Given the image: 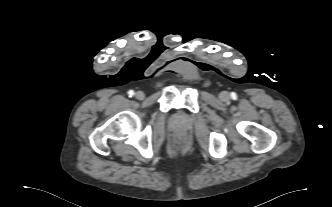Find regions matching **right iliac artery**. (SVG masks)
I'll return each mask as SVG.
<instances>
[{
  "label": "right iliac artery",
  "instance_id": "obj_1",
  "mask_svg": "<svg viewBox=\"0 0 332 207\" xmlns=\"http://www.w3.org/2000/svg\"><path fill=\"white\" fill-rule=\"evenodd\" d=\"M128 95H129L130 97L134 96V91H133V90L128 91Z\"/></svg>",
  "mask_w": 332,
  "mask_h": 207
}]
</instances>
